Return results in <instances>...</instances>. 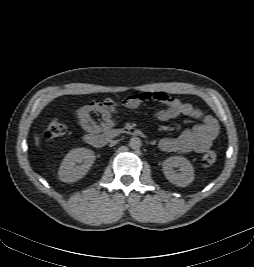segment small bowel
<instances>
[{
    "mask_svg": "<svg viewBox=\"0 0 254 267\" xmlns=\"http://www.w3.org/2000/svg\"><path fill=\"white\" fill-rule=\"evenodd\" d=\"M148 101H157L164 105V108L156 113V117L160 121H168L179 116H187L200 121L178 137L161 139L159 147L162 151L182 154L203 153L216 139L219 128L217 121L212 116L206 115L190 103L180 101L162 91H143L132 94L124 98L121 104L112 99L92 102L79 107L76 116L79 125L87 133L98 134L115 126V115L120 105L127 109H135Z\"/></svg>",
    "mask_w": 254,
    "mask_h": 267,
    "instance_id": "obj_1",
    "label": "small bowel"
}]
</instances>
